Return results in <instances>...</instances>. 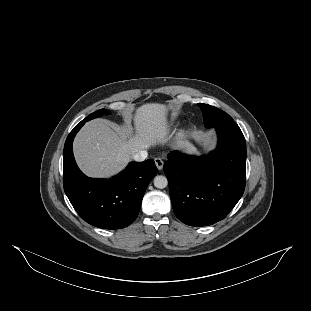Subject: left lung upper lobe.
I'll use <instances>...</instances> for the list:
<instances>
[{
    "mask_svg": "<svg viewBox=\"0 0 311 311\" xmlns=\"http://www.w3.org/2000/svg\"><path fill=\"white\" fill-rule=\"evenodd\" d=\"M204 118L205 127L211 128L220 125H236V122L224 111L207 105L199 103Z\"/></svg>",
    "mask_w": 311,
    "mask_h": 311,
    "instance_id": "5c2ea615",
    "label": "left lung upper lobe"
}]
</instances>
